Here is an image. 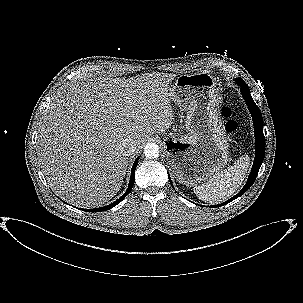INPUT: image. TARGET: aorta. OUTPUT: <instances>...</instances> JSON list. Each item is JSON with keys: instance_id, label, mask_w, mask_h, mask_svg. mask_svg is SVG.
Masks as SVG:
<instances>
[{"instance_id": "aorta-1", "label": "aorta", "mask_w": 303, "mask_h": 303, "mask_svg": "<svg viewBox=\"0 0 303 303\" xmlns=\"http://www.w3.org/2000/svg\"><path fill=\"white\" fill-rule=\"evenodd\" d=\"M159 153V146L156 143H147L144 147V155L148 159L158 158Z\"/></svg>"}]
</instances>
